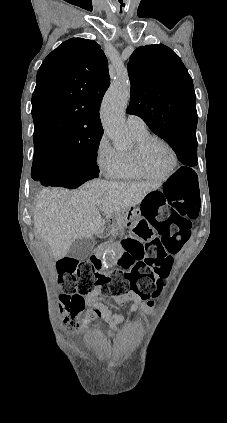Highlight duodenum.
Listing matches in <instances>:
<instances>
[{"label": "duodenum", "mask_w": 227, "mask_h": 423, "mask_svg": "<svg viewBox=\"0 0 227 423\" xmlns=\"http://www.w3.org/2000/svg\"><path fill=\"white\" fill-rule=\"evenodd\" d=\"M113 233V231H109V229H107V235H111Z\"/></svg>", "instance_id": "410a0bca"}]
</instances>
